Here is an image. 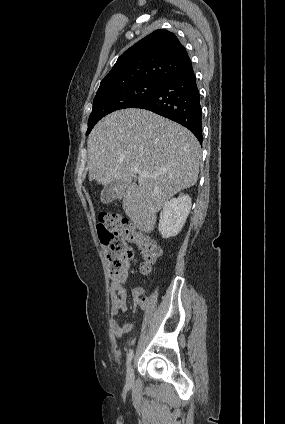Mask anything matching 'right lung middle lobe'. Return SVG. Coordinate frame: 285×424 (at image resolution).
<instances>
[{
    "instance_id": "dd1d6c3e",
    "label": "right lung middle lobe",
    "mask_w": 285,
    "mask_h": 424,
    "mask_svg": "<svg viewBox=\"0 0 285 424\" xmlns=\"http://www.w3.org/2000/svg\"><path fill=\"white\" fill-rule=\"evenodd\" d=\"M162 84L161 81H139L98 91L93 100V110L89 116L86 135L101 118L113 111L130 108L136 102L156 92Z\"/></svg>"
}]
</instances>
